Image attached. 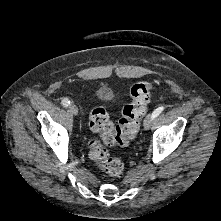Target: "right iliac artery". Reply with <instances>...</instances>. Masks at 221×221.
I'll use <instances>...</instances> for the list:
<instances>
[{"mask_svg": "<svg viewBox=\"0 0 221 221\" xmlns=\"http://www.w3.org/2000/svg\"><path fill=\"white\" fill-rule=\"evenodd\" d=\"M62 105H63L64 107H68V106L70 105V101H69L68 99L64 98V99L62 100Z\"/></svg>", "mask_w": 221, "mask_h": 221, "instance_id": "1", "label": "right iliac artery"}]
</instances>
